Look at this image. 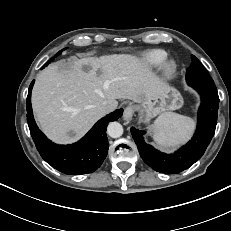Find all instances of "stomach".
<instances>
[{"instance_id":"obj_1","label":"stomach","mask_w":231,"mask_h":231,"mask_svg":"<svg viewBox=\"0 0 231 231\" xmlns=\"http://www.w3.org/2000/svg\"><path fill=\"white\" fill-rule=\"evenodd\" d=\"M182 105V98L177 90L167 86L160 95L141 103L140 110L143 114V120L147 121L167 110H174Z\"/></svg>"}]
</instances>
